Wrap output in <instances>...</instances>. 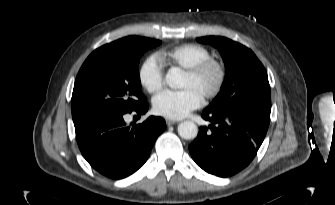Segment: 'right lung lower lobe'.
I'll return each instance as SVG.
<instances>
[{"instance_id":"right-lung-lower-lobe-1","label":"right lung lower lobe","mask_w":335,"mask_h":205,"mask_svg":"<svg viewBox=\"0 0 335 205\" xmlns=\"http://www.w3.org/2000/svg\"><path fill=\"white\" fill-rule=\"evenodd\" d=\"M148 104L119 114H94L73 119L79 149L88 163L101 174L125 178L148 159L157 137L166 127L161 117H149L142 124L127 125L126 113L145 114Z\"/></svg>"}]
</instances>
